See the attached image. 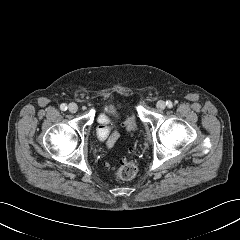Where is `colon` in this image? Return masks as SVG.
Masks as SVG:
<instances>
[{"label":"colon","instance_id":"1","mask_svg":"<svg viewBox=\"0 0 240 240\" xmlns=\"http://www.w3.org/2000/svg\"><path fill=\"white\" fill-rule=\"evenodd\" d=\"M127 126L129 129H133L134 121L133 118H130L127 122ZM137 174V167L134 163L129 161H122L121 166L118 170V177L121 180H131Z\"/></svg>","mask_w":240,"mask_h":240}]
</instances>
